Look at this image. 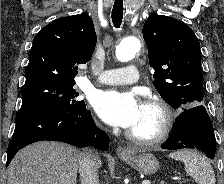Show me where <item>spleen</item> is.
Listing matches in <instances>:
<instances>
[{"label": "spleen", "instance_id": "1", "mask_svg": "<svg viewBox=\"0 0 224 184\" xmlns=\"http://www.w3.org/2000/svg\"><path fill=\"white\" fill-rule=\"evenodd\" d=\"M169 157L182 161L186 173L198 184H215V175L212 166L205 157L197 152L182 150L170 153Z\"/></svg>", "mask_w": 224, "mask_h": 184}]
</instances>
